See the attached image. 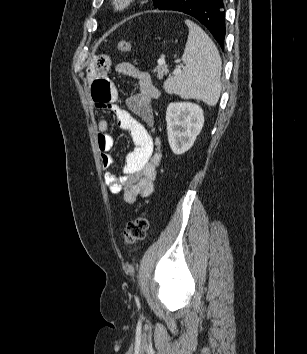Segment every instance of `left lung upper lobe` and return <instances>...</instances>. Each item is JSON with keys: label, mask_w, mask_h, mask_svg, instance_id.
Listing matches in <instances>:
<instances>
[{"label": "left lung upper lobe", "mask_w": 307, "mask_h": 354, "mask_svg": "<svg viewBox=\"0 0 307 354\" xmlns=\"http://www.w3.org/2000/svg\"><path fill=\"white\" fill-rule=\"evenodd\" d=\"M170 0H153L154 6L157 8L163 7L166 3H168Z\"/></svg>", "instance_id": "1"}]
</instances>
